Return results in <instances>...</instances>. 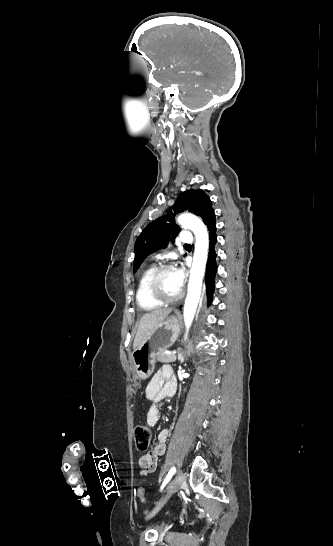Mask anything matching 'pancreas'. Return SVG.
I'll return each instance as SVG.
<instances>
[{
	"label": "pancreas",
	"mask_w": 333,
	"mask_h": 546,
	"mask_svg": "<svg viewBox=\"0 0 333 546\" xmlns=\"http://www.w3.org/2000/svg\"><path fill=\"white\" fill-rule=\"evenodd\" d=\"M157 360L162 363H171L176 361V355L175 354H166L165 352H160L157 355Z\"/></svg>",
	"instance_id": "1"
}]
</instances>
